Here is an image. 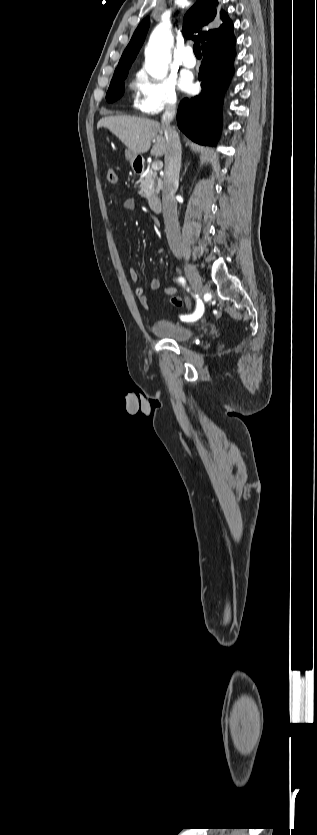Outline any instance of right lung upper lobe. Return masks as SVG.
Returning a JSON list of instances; mask_svg holds the SVG:
<instances>
[{
	"mask_svg": "<svg viewBox=\"0 0 317 835\" xmlns=\"http://www.w3.org/2000/svg\"><path fill=\"white\" fill-rule=\"evenodd\" d=\"M217 5V0H199L193 5L183 20V32L186 38L200 41L203 47L219 37L232 34V22L225 12H219ZM220 19L223 23L218 27ZM149 25V17L139 24L115 71L131 67L144 42Z\"/></svg>",
	"mask_w": 317,
	"mask_h": 835,
	"instance_id": "cb5924a9",
	"label": "right lung upper lobe"
}]
</instances>
